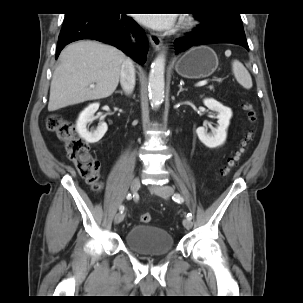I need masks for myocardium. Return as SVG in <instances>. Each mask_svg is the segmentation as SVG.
<instances>
[{"mask_svg": "<svg viewBox=\"0 0 303 303\" xmlns=\"http://www.w3.org/2000/svg\"><path fill=\"white\" fill-rule=\"evenodd\" d=\"M193 23H194V19H193V17L190 16V15H186V16H184L183 19H182V26H183V27L188 28V27L192 26Z\"/></svg>", "mask_w": 303, "mask_h": 303, "instance_id": "f54148a6", "label": "myocardium"}]
</instances>
